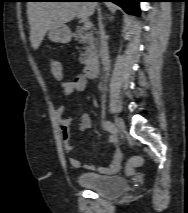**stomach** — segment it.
Returning a JSON list of instances; mask_svg holds the SVG:
<instances>
[{
	"label": "stomach",
	"instance_id": "stomach-1",
	"mask_svg": "<svg viewBox=\"0 0 188 213\" xmlns=\"http://www.w3.org/2000/svg\"><path fill=\"white\" fill-rule=\"evenodd\" d=\"M71 31L65 24L57 25L48 30V38L56 43H69L71 41Z\"/></svg>",
	"mask_w": 188,
	"mask_h": 213
}]
</instances>
